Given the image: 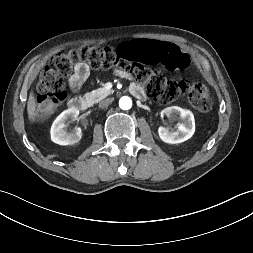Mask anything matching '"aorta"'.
Masks as SVG:
<instances>
[{
	"label": "aorta",
	"instance_id": "1",
	"mask_svg": "<svg viewBox=\"0 0 253 253\" xmlns=\"http://www.w3.org/2000/svg\"><path fill=\"white\" fill-rule=\"evenodd\" d=\"M119 107L123 110H129L132 107V100L128 96H123L119 100Z\"/></svg>",
	"mask_w": 253,
	"mask_h": 253
}]
</instances>
